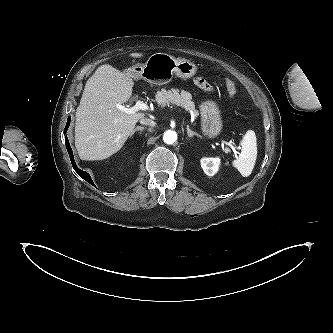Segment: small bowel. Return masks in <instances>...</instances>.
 <instances>
[{
  "mask_svg": "<svg viewBox=\"0 0 333 333\" xmlns=\"http://www.w3.org/2000/svg\"><path fill=\"white\" fill-rule=\"evenodd\" d=\"M195 83L199 88H201L205 91H208V92L212 91L211 86L207 83L206 80H204L201 77L196 78Z\"/></svg>",
  "mask_w": 333,
  "mask_h": 333,
  "instance_id": "small-bowel-1",
  "label": "small bowel"
}]
</instances>
